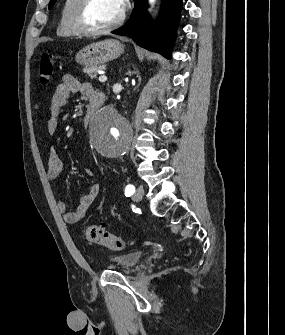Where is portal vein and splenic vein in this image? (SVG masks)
Masks as SVG:
<instances>
[{"label": "portal vein and splenic vein", "instance_id": "1", "mask_svg": "<svg viewBox=\"0 0 285 335\" xmlns=\"http://www.w3.org/2000/svg\"><path fill=\"white\" fill-rule=\"evenodd\" d=\"M97 74H101V76H99V82H106L107 80V76H104L105 72H97Z\"/></svg>", "mask_w": 285, "mask_h": 335}]
</instances>
